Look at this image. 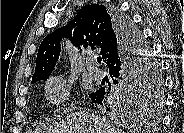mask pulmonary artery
<instances>
[{
	"mask_svg": "<svg viewBox=\"0 0 184 133\" xmlns=\"http://www.w3.org/2000/svg\"><path fill=\"white\" fill-rule=\"evenodd\" d=\"M89 71V75L94 79V80H101L103 79L104 77V74H103V71L100 70L99 68L97 67H89L88 69Z\"/></svg>",
	"mask_w": 184,
	"mask_h": 133,
	"instance_id": "obj_1",
	"label": "pulmonary artery"
}]
</instances>
